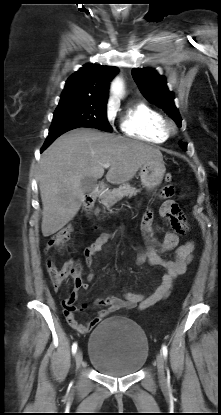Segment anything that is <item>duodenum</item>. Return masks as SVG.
<instances>
[{
	"label": "duodenum",
	"mask_w": 221,
	"mask_h": 415,
	"mask_svg": "<svg viewBox=\"0 0 221 415\" xmlns=\"http://www.w3.org/2000/svg\"><path fill=\"white\" fill-rule=\"evenodd\" d=\"M102 192H103V185L102 184H99L85 198V201H84V211H85L87 217L90 220H92L94 204H95L96 200L100 197V195L102 194Z\"/></svg>",
	"instance_id": "1"
}]
</instances>
